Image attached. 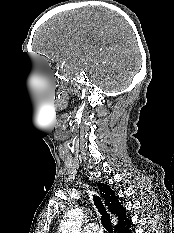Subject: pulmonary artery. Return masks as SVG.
Instances as JSON below:
<instances>
[{"mask_svg": "<svg viewBox=\"0 0 174 233\" xmlns=\"http://www.w3.org/2000/svg\"><path fill=\"white\" fill-rule=\"evenodd\" d=\"M83 233H103V231L98 224L89 223L83 228Z\"/></svg>", "mask_w": 174, "mask_h": 233, "instance_id": "obj_1", "label": "pulmonary artery"}]
</instances>
